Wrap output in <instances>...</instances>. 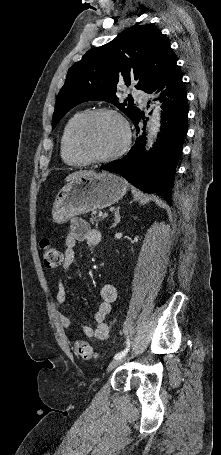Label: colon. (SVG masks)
Segmentation results:
<instances>
[{"mask_svg":"<svg viewBox=\"0 0 221 455\" xmlns=\"http://www.w3.org/2000/svg\"><path fill=\"white\" fill-rule=\"evenodd\" d=\"M41 250L44 264L47 267L55 268L62 264L63 257L60 251L55 248L48 238H44L41 242ZM76 353L84 360H90L95 355L91 345L83 340H77L74 343Z\"/></svg>","mask_w":221,"mask_h":455,"instance_id":"obj_1","label":"colon"}]
</instances>
